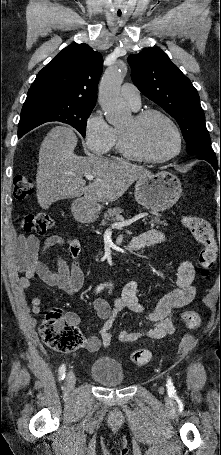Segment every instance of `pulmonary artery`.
Wrapping results in <instances>:
<instances>
[{"label": "pulmonary artery", "mask_w": 221, "mask_h": 455, "mask_svg": "<svg viewBox=\"0 0 221 455\" xmlns=\"http://www.w3.org/2000/svg\"><path fill=\"white\" fill-rule=\"evenodd\" d=\"M121 95L133 109H138L140 107V92L134 84L125 83L121 87Z\"/></svg>", "instance_id": "e3ab8cb5"}]
</instances>
